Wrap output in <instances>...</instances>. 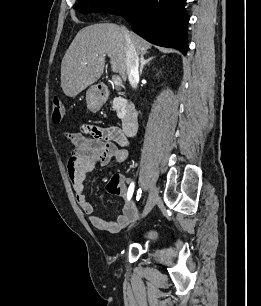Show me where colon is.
<instances>
[{"label":"colon","instance_id":"5ec220e1","mask_svg":"<svg viewBox=\"0 0 261 306\" xmlns=\"http://www.w3.org/2000/svg\"><path fill=\"white\" fill-rule=\"evenodd\" d=\"M65 116V108L63 103L58 99L55 98L52 102V113L51 118L54 124H59ZM117 180V176L114 177Z\"/></svg>","mask_w":261,"mask_h":306}]
</instances>
